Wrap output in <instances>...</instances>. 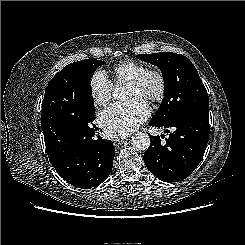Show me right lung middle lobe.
I'll return each instance as SVG.
<instances>
[{
	"label": "right lung middle lobe",
	"mask_w": 245,
	"mask_h": 245,
	"mask_svg": "<svg viewBox=\"0 0 245 245\" xmlns=\"http://www.w3.org/2000/svg\"><path fill=\"white\" fill-rule=\"evenodd\" d=\"M104 63L102 60L86 59L67 65L72 80L73 93L57 117L59 127L69 131H80L92 126L94 100L91 96V78L97 67Z\"/></svg>",
	"instance_id": "dd1d6c3e"
}]
</instances>
